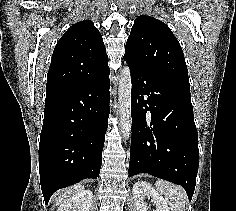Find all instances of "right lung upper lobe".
<instances>
[{
	"label": "right lung upper lobe",
	"instance_id": "1",
	"mask_svg": "<svg viewBox=\"0 0 236 211\" xmlns=\"http://www.w3.org/2000/svg\"><path fill=\"white\" fill-rule=\"evenodd\" d=\"M108 71L100 32L92 21L78 22L64 33L54 49L46 92L85 84Z\"/></svg>",
	"mask_w": 236,
	"mask_h": 211
}]
</instances>
